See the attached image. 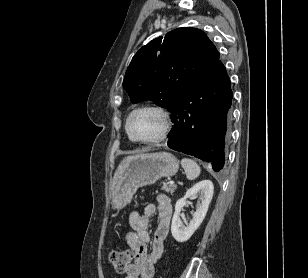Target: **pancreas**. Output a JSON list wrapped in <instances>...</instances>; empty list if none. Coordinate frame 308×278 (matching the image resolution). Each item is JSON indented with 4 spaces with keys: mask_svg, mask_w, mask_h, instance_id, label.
I'll return each mask as SVG.
<instances>
[{
    "mask_svg": "<svg viewBox=\"0 0 308 278\" xmlns=\"http://www.w3.org/2000/svg\"><path fill=\"white\" fill-rule=\"evenodd\" d=\"M161 189L164 190L167 193H174L176 190V185H169L165 182L161 183Z\"/></svg>",
    "mask_w": 308,
    "mask_h": 278,
    "instance_id": "1",
    "label": "pancreas"
}]
</instances>
